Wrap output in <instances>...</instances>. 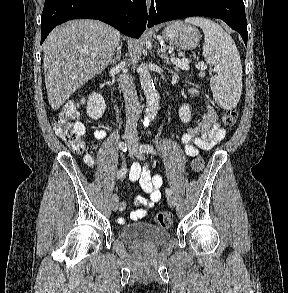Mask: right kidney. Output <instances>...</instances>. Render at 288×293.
<instances>
[{
	"label": "right kidney",
	"mask_w": 288,
	"mask_h": 293,
	"mask_svg": "<svg viewBox=\"0 0 288 293\" xmlns=\"http://www.w3.org/2000/svg\"><path fill=\"white\" fill-rule=\"evenodd\" d=\"M106 108L104 98L95 92L89 95L87 102V114L90 118L97 120L102 117Z\"/></svg>",
	"instance_id": "ca27d5eb"
}]
</instances>
